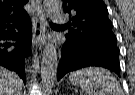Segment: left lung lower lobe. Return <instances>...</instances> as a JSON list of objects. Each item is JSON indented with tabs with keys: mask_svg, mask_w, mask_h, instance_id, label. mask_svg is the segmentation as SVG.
Masks as SVG:
<instances>
[{
	"mask_svg": "<svg viewBox=\"0 0 135 95\" xmlns=\"http://www.w3.org/2000/svg\"><path fill=\"white\" fill-rule=\"evenodd\" d=\"M64 49L70 50L64 52ZM119 49L110 38L74 41L66 38L57 69L58 81L68 72L84 67L97 66L114 71L120 76Z\"/></svg>",
	"mask_w": 135,
	"mask_h": 95,
	"instance_id": "obj_1",
	"label": "left lung lower lobe"
}]
</instances>
